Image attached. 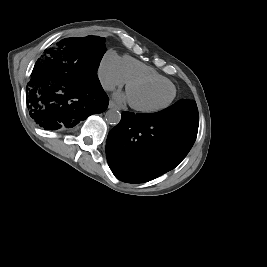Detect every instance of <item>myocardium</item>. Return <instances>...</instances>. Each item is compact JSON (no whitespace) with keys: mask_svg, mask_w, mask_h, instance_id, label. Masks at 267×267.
Wrapping results in <instances>:
<instances>
[{"mask_svg":"<svg viewBox=\"0 0 267 267\" xmlns=\"http://www.w3.org/2000/svg\"><path fill=\"white\" fill-rule=\"evenodd\" d=\"M147 83L170 85L173 88V95L167 103L160 105V106H153V107L141 106V105H138V104L130 101V106L134 110L139 111V112H143V113H154V112H159V111H162V110L168 108L173 103V101L175 100V98L177 96V89L171 81L170 82H163V81H160V80H157L154 78H148V77L134 78V79H131L127 82V85H126L127 92L134 85L147 84Z\"/></svg>","mask_w":267,"mask_h":267,"instance_id":"1","label":"myocardium"}]
</instances>
